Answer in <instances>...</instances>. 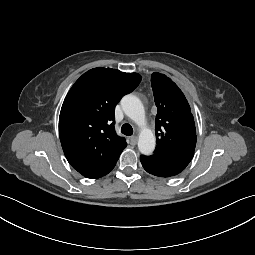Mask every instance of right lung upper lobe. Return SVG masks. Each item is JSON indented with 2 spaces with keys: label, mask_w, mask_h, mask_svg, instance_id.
<instances>
[{
  "label": "right lung upper lobe",
  "mask_w": 255,
  "mask_h": 255,
  "mask_svg": "<svg viewBox=\"0 0 255 255\" xmlns=\"http://www.w3.org/2000/svg\"><path fill=\"white\" fill-rule=\"evenodd\" d=\"M137 73L94 68L68 92L59 117V136L71 166L86 178L108 174L127 146L116 134L114 110L140 83Z\"/></svg>",
  "instance_id": "1"
}]
</instances>
